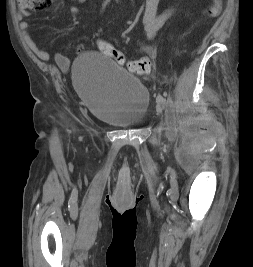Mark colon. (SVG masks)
Wrapping results in <instances>:
<instances>
[{
	"label": "colon",
	"mask_w": 253,
	"mask_h": 267,
	"mask_svg": "<svg viewBox=\"0 0 253 267\" xmlns=\"http://www.w3.org/2000/svg\"><path fill=\"white\" fill-rule=\"evenodd\" d=\"M52 0H17L18 5L23 9L28 10H42L51 4ZM221 9V1L214 0L213 5L208 11V15L215 17L219 14ZM99 50L106 56L112 58L119 64H124L125 59L123 54L118 51L113 45L106 41L98 42ZM128 69L136 74H146L151 69V60L149 57L143 56L139 59L129 61L127 63Z\"/></svg>",
	"instance_id": "5ec220e1"
}]
</instances>
